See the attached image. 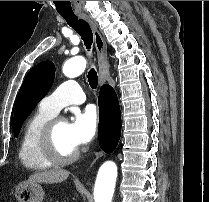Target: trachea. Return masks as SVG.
<instances>
[{"mask_svg":"<svg viewBox=\"0 0 209 202\" xmlns=\"http://www.w3.org/2000/svg\"><path fill=\"white\" fill-rule=\"evenodd\" d=\"M69 26H71L81 37L84 45L88 50H90L93 43V33L89 24L83 20L78 19L74 14L72 15H62ZM89 85L92 89H96L98 85V76L94 68L90 69L87 75Z\"/></svg>","mask_w":209,"mask_h":202,"instance_id":"trachea-1","label":"trachea"}]
</instances>
